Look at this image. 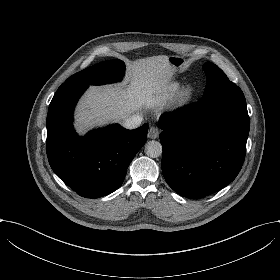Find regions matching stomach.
Returning a JSON list of instances; mask_svg holds the SVG:
<instances>
[{
    "mask_svg": "<svg viewBox=\"0 0 280 280\" xmlns=\"http://www.w3.org/2000/svg\"><path fill=\"white\" fill-rule=\"evenodd\" d=\"M167 63L175 72L183 73L188 70V59L180 55H168Z\"/></svg>",
    "mask_w": 280,
    "mask_h": 280,
    "instance_id": "obj_1",
    "label": "stomach"
}]
</instances>
